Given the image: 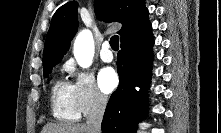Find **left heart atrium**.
Here are the masks:
<instances>
[{"instance_id":"obj_1","label":"left heart atrium","mask_w":221,"mask_h":133,"mask_svg":"<svg viewBox=\"0 0 221 133\" xmlns=\"http://www.w3.org/2000/svg\"><path fill=\"white\" fill-rule=\"evenodd\" d=\"M98 84L102 92L106 94L112 92L118 84L115 70L112 67H104L99 73Z\"/></svg>"}]
</instances>
